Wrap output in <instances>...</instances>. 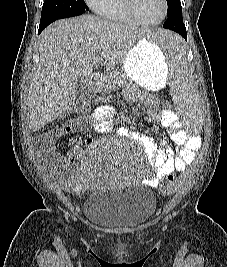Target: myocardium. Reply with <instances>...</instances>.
Segmentation results:
<instances>
[{"mask_svg":"<svg viewBox=\"0 0 227 267\" xmlns=\"http://www.w3.org/2000/svg\"><path fill=\"white\" fill-rule=\"evenodd\" d=\"M135 0H122V4L124 7V10L127 12V14L135 20L137 23L143 24V25H149V26H154L158 25L163 20L166 18L167 13H168V1L167 0H162L163 4V13L160 19L157 21H145L143 20L139 14L137 13L136 7H135Z\"/></svg>","mask_w":227,"mask_h":267,"instance_id":"f54148a6","label":"myocardium"}]
</instances>
